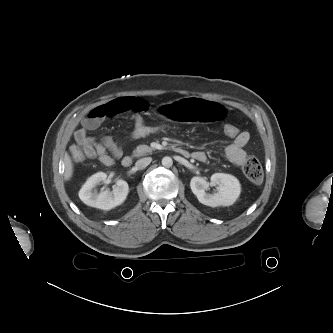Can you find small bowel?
Returning a JSON list of instances; mask_svg holds the SVG:
<instances>
[{
  "mask_svg": "<svg viewBox=\"0 0 333 333\" xmlns=\"http://www.w3.org/2000/svg\"><path fill=\"white\" fill-rule=\"evenodd\" d=\"M148 108L147 101L133 97L117 98L94 107L85 114L81 121V127L75 132L77 146L73 148L80 149L88 159H98L105 166L112 165L115 159L123 156L119 143L110 136H104L95 141L88 135V132L97 129L106 118L123 113H132L133 122L143 121L141 113L147 111ZM249 140L248 132H240L226 147L225 155L231 163L237 166L244 164L247 157L245 147ZM192 156L200 162L207 160L206 154L201 151L194 152Z\"/></svg>",
  "mask_w": 333,
  "mask_h": 333,
  "instance_id": "1",
  "label": "small bowel"
}]
</instances>
